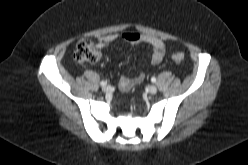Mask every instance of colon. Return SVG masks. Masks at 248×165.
<instances>
[{
  "label": "colon",
  "instance_id": "colon-1",
  "mask_svg": "<svg viewBox=\"0 0 248 165\" xmlns=\"http://www.w3.org/2000/svg\"><path fill=\"white\" fill-rule=\"evenodd\" d=\"M74 58L78 63L92 64L99 60L100 54L94 42L90 39L84 38L77 42ZM184 58V55L180 52L172 55V59L177 63L184 61Z\"/></svg>",
  "mask_w": 248,
  "mask_h": 165
}]
</instances>
